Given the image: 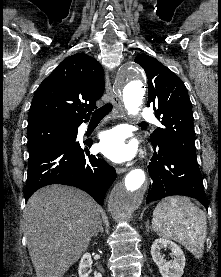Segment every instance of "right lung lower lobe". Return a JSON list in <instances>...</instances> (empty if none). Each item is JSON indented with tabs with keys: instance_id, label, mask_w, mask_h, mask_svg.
Listing matches in <instances>:
<instances>
[{
	"instance_id": "98d812e1",
	"label": "right lung lower lobe",
	"mask_w": 221,
	"mask_h": 277,
	"mask_svg": "<svg viewBox=\"0 0 221 277\" xmlns=\"http://www.w3.org/2000/svg\"><path fill=\"white\" fill-rule=\"evenodd\" d=\"M72 125L78 131L81 123ZM77 131L63 141L29 154L26 201L43 186L63 184L86 191L103 205L104 196L116 179V171L103 159L89 154L92 140L76 141Z\"/></svg>"
}]
</instances>
